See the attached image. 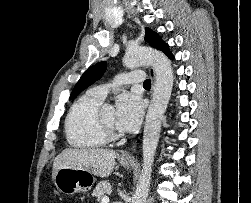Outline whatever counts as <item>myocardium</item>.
Masks as SVG:
<instances>
[{"label": "myocardium", "mask_w": 251, "mask_h": 203, "mask_svg": "<svg viewBox=\"0 0 251 203\" xmlns=\"http://www.w3.org/2000/svg\"><path fill=\"white\" fill-rule=\"evenodd\" d=\"M98 125L100 128V131L102 132V134L108 141L119 140L123 137L121 132L115 130L104 121L102 117V113H98Z\"/></svg>", "instance_id": "1"}]
</instances>
